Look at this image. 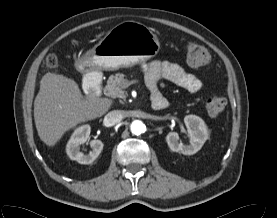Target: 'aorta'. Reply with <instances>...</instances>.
I'll return each instance as SVG.
<instances>
[{"instance_id": "obj_1", "label": "aorta", "mask_w": 277, "mask_h": 218, "mask_svg": "<svg viewBox=\"0 0 277 218\" xmlns=\"http://www.w3.org/2000/svg\"><path fill=\"white\" fill-rule=\"evenodd\" d=\"M131 132L135 135H140L145 131V125L140 120H134L130 126Z\"/></svg>"}]
</instances>
